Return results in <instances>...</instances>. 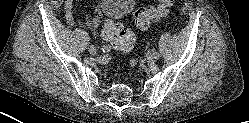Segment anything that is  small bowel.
<instances>
[{
    "label": "small bowel",
    "instance_id": "small-bowel-1",
    "mask_svg": "<svg viewBox=\"0 0 249 123\" xmlns=\"http://www.w3.org/2000/svg\"><path fill=\"white\" fill-rule=\"evenodd\" d=\"M74 2L75 0H64L65 18L66 21L71 25L74 24L76 21L74 14L72 12ZM101 14H102L101 7L97 6L92 14L90 13L86 16V18L84 19V23L92 28L97 27L99 24V19L101 17Z\"/></svg>",
    "mask_w": 249,
    "mask_h": 123
}]
</instances>
